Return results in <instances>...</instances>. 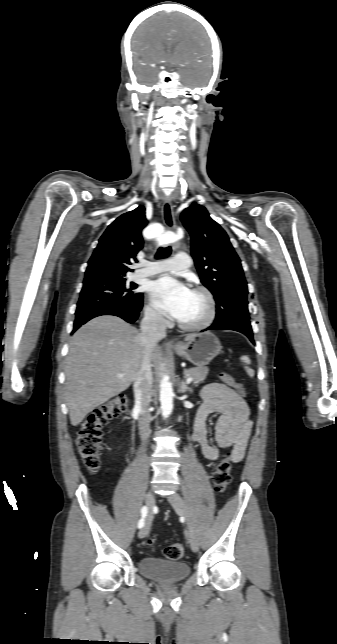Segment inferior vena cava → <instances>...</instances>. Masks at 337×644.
Here are the masks:
<instances>
[{
    "label": "inferior vena cava",
    "mask_w": 337,
    "mask_h": 644,
    "mask_svg": "<svg viewBox=\"0 0 337 644\" xmlns=\"http://www.w3.org/2000/svg\"><path fill=\"white\" fill-rule=\"evenodd\" d=\"M165 319L154 311L145 312L141 321L140 339L146 348L151 347L160 337L165 336ZM152 372L148 354L145 352L134 381L135 408L139 411V434L142 441H147L150 431L151 416L148 408L151 401Z\"/></svg>",
    "instance_id": "602c4592"
}]
</instances>
